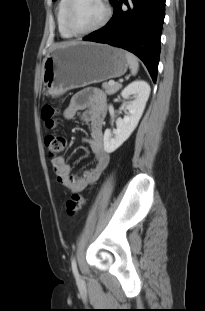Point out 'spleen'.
<instances>
[{
  "label": "spleen",
  "instance_id": "obj_1",
  "mask_svg": "<svg viewBox=\"0 0 205 311\" xmlns=\"http://www.w3.org/2000/svg\"><path fill=\"white\" fill-rule=\"evenodd\" d=\"M126 58L128 61V64L131 68V73L134 75L137 73L139 68L138 59L133 55L132 53L126 52Z\"/></svg>",
  "mask_w": 205,
  "mask_h": 311
}]
</instances>
